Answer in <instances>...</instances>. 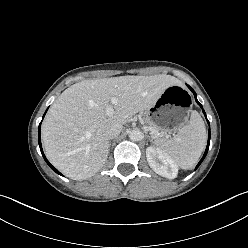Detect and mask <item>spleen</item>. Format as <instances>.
Instances as JSON below:
<instances>
[{"instance_id":"3e777b00","label":"spleen","mask_w":248,"mask_h":248,"mask_svg":"<svg viewBox=\"0 0 248 248\" xmlns=\"http://www.w3.org/2000/svg\"><path fill=\"white\" fill-rule=\"evenodd\" d=\"M207 136L203 119L193 111L189 124L178 130L170 140H158L156 146L169 155L182 169H191L198 162L205 146Z\"/></svg>"}]
</instances>
